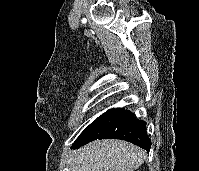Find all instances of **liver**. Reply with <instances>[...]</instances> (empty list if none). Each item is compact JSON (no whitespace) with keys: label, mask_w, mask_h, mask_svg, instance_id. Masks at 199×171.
Masks as SVG:
<instances>
[{"label":"liver","mask_w":199,"mask_h":171,"mask_svg":"<svg viewBox=\"0 0 199 171\" xmlns=\"http://www.w3.org/2000/svg\"><path fill=\"white\" fill-rule=\"evenodd\" d=\"M140 147L122 140H96L70 156L69 171H134L145 160Z\"/></svg>","instance_id":"1"}]
</instances>
